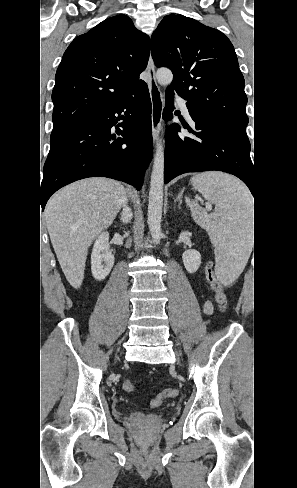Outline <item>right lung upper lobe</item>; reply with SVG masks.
Listing matches in <instances>:
<instances>
[{"label": "right lung upper lobe", "instance_id": "1", "mask_svg": "<svg viewBox=\"0 0 297 488\" xmlns=\"http://www.w3.org/2000/svg\"><path fill=\"white\" fill-rule=\"evenodd\" d=\"M150 39L126 15L108 18L76 37L55 76L53 131L58 133L100 113L143 83Z\"/></svg>", "mask_w": 297, "mask_h": 488}]
</instances>
